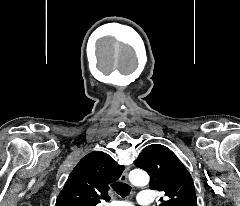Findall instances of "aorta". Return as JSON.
Instances as JSON below:
<instances>
[{
	"label": "aorta",
	"mask_w": 240,
	"mask_h": 206,
	"mask_svg": "<svg viewBox=\"0 0 240 206\" xmlns=\"http://www.w3.org/2000/svg\"><path fill=\"white\" fill-rule=\"evenodd\" d=\"M129 179L135 186H144L149 182L148 174L142 170H133L129 175Z\"/></svg>",
	"instance_id": "1"
}]
</instances>
